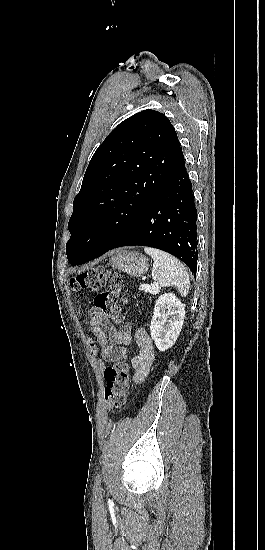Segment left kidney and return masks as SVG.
I'll return each mask as SVG.
<instances>
[{
	"mask_svg": "<svg viewBox=\"0 0 265 550\" xmlns=\"http://www.w3.org/2000/svg\"><path fill=\"white\" fill-rule=\"evenodd\" d=\"M185 317V305L173 293L161 295L155 303L150 332L159 351L176 342Z\"/></svg>",
	"mask_w": 265,
	"mask_h": 550,
	"instance_id": "left-kidney-1",
	"label": "left kidney"
}]
</instances>
